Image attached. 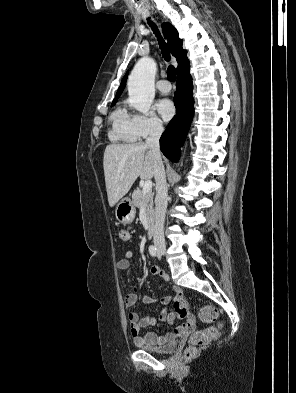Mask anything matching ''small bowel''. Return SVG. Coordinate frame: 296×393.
I'll list each match as a JSON object with an SVG mask.
<instances>
[{"instance_id": "small-bowel-1", "label": "small bowel", "mask_w": 296, "mask_h": 393, "mask_svg": "<svg viewBox=\"0 0 296 393\" xmlns=\"http://www.w3.org/2000/svg\"><path fill=\"white\" fill-rule=\"evenodd\" d=\"M133 258V253L131 251H127L124 254V257L117 261V269L121 271L128 270L131 266V261ZM153 276L162 279L165 282H169L168 275L159 267H154L151 270ZM131 291L125 297V304L127 307H134L137 304V288L133 285L130 286ZM173 295H167L161 300V304L163 305V309L160 313L159 320L160 321H173V313L171 312L169 306L172 300L184 299L183 291L177 286H171ZM142 303L144 304H154L156 300L144 296L142 298ZM128 319L130 322V332L133 338L134 343L137 346L141 345H163L167 342L173 341L176 337L186 335L191 333L196 326V321L193 316H188L185 323H181L175 326L173 332L167 333L163 336H159L156 333H147L146 335H141L140 329L143 327H151L157 324L156 318L153 316H145L140 317L136 312H129Z\"/></svg>"}]
</instances>
